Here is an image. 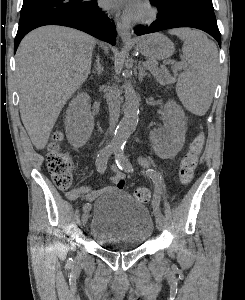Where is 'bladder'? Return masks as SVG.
<instances>
[{"instance_id":"obj_1","label":"bladder","mask_w":245,"mask_h":300,"mask_svg":"<svg viewBox=\"0 0 245 300\" xmlns=\"http://www.w3.org/2000/svg\"><path fill=\"white\" fill-rule=\"evenodd\" d=\"M154 232L148 208L122 190H110L94 203L88 234L102 247L130 251L141 247Z\"/></svg>"}]
</instances>
